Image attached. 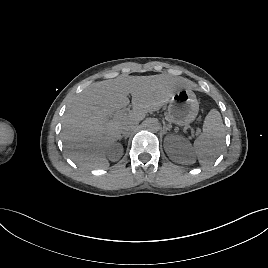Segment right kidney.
<instances>
[{
  "label": "right kidney",
  "instance_id": "right-kidney-1",
  "mask_svg": "<svg viewBox=\"0 0 268 268\" xmlns=\"http://www.w3.org/2000/svg\"><path fill=\"white\" fill-rule=\"evenodd\" d=\"M123 155V147L119 143L113 144L107 151L109 160L115 162L118 161Z\"/></svg>",
  "mask_w": 268,
  "mask_h": 268
}]
</instances>
